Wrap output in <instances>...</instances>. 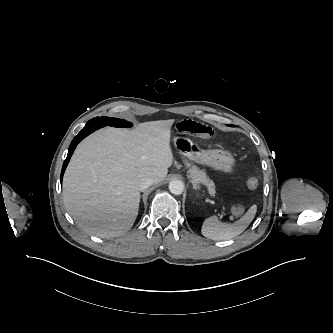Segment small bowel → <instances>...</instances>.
Here are the masks:
<instances>
[{"label":"small bowel","instance_id":"1","mask_svg":"<svg viewBox=\"0 0 333 333\" xmlns=\"http://www.w3.org/2000/svg\"><path fill=\"white\" fill-rule=\"evenodd\" d=\"M174 127L180 134L191 135L201 139L211 138L215 134V131L212 127L192 119L178 121L175 123Z\"/></svg>","mask_w":333,"mask_h":333}]
</instances>
